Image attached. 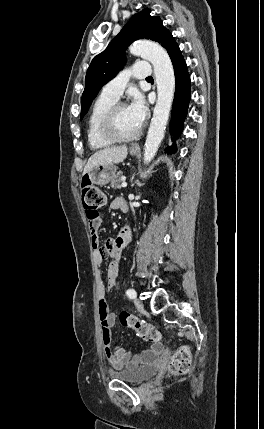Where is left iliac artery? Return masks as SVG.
I'll return each instance as SVG.
<instances>
[{
  "label": "left iliac artery",
  "instance_id": "44dca946",
  "mask_svg": "<svg viewBox=\"0 0 264 429\" xmlns=\"http://www.w3.org/2000/svg\"><path fill=\"white\" fill-rule=\"evenodd\" d=\"M135 290L134 289H132V288H130V289H128L127 291H126V294H127V296L131 299L132 297H131V294H132V292H134Z\"/></svg>",
  "mask_w": 264,
  "mask_h": 429
}]
</instances>
